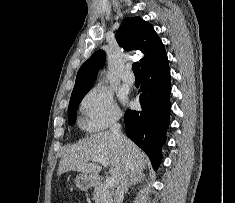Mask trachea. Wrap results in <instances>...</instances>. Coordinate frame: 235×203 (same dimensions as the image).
Masks as SVG:
<instances>
[{
  "label": "trachea",
  "mask_w": 235,
  "mask_h": 203,
  "mask_svg": "<svg viewBox=\"0 0 235 203\" xmlns=\"http://www.w3.org/2000/svg\"><path fill=\"white\" fill-rule=\"evenodd\" d=\"M133 72L135 76H140L141 71H140V65L138 62L133 64Z\"/></svg>",
  "instance_id": "trachea-1"
}]
</instances>
